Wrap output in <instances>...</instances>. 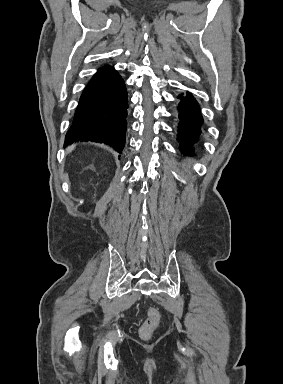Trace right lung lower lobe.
<instances>
[{
  "label": "right lung lower lobe",
  "instance_id": "98d812e1",
  "mask_svg": "<svg viewBox=\"0 0 283 384\" xmlns=\"http://www.w3.org/2000/svg\"><path fill=\"white\" fill-rule=\"evenodd\" d=\"M127 97L124 81L114 67H101L80 97L64 146L92 141L105 143L121 153L127 129Z\"/></svg>",
  "mask_w": 283,
  "mask_h": 384
}]
</instances>
